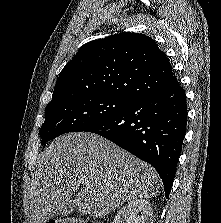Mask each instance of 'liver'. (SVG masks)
<instances>
[{
    "label": "liver",
    "instance_id": "1",
    "mask_svg": "<svg viewBox=\"0 0 221 223\" xmlns=\"http://www.w3.org/2000/svg\"><path fill=\"white\" fill-rule=\"evenodd\" d=\"M80 185L84 187L77 192ZM160 185L152 166L109 140L87 132L68 133L38 156L30 223L67 216L74 208L101 218L126 202L154 197Z\"/></svg>",
    "mask_w": 221,
    "mask_h": 223
}]
</instances>
